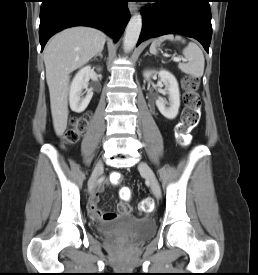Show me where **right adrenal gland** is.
<instances>
[{
    "instance_id": "2a0ac1e0",
    "label": "right adrenal gland",
    "mask_w": 258,
    "mask_h": 275,
    "mask_svg": "<svg viewBox=\"0 0 258 275\" xmlns=\"http://www.w3.org/2000/svg\"><path fill=\"white\" fill-rule=\"evenodd\" d=\"M100 57V58H102L103 57V55H102V51H100L95 57H94V59H96L97 57Z\"/></svg>"
}]
</instances>
